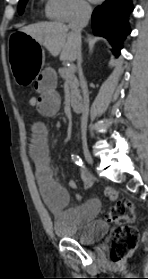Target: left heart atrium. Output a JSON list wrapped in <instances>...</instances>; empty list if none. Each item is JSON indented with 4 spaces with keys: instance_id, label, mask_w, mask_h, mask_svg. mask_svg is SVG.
Returning <instances> with one entry per match:
<instances>
[{
    "instance_id": "1",
    "label": "left heart atrium",
    "mask_w": 148,
    "mask_h": 279,
    "mask_svg": "<svg viewBox=\"0 0 148 279\" xmlns=\"http://www.w3.org/2000/svg\"><path fill=\"white\" fill-rule=\"evenodd\" d=\"M92 2H99V1H101V0H91Z\"/></svg>"
}]
</instances>
